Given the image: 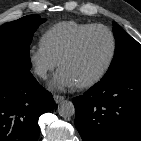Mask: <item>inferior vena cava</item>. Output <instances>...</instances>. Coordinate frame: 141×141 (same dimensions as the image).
I'll return each instance as SVG.
<instances>
[{
  "instance_id": "1",
  "label": "inferior vena cava",
  "mask_w": 141,
  "mask_h": 141,
  "mask_svg": "<svg viewBox=\"0 0 141 141\" xmlns=\"http://www.w3.org/2000/svg\"><path fill=\"white\" fill-rule=\"evenodd\" d=\"M35 73L41 77H44L46 74V69L44 67H36Z\"/></svg>"
}]
</instances>
